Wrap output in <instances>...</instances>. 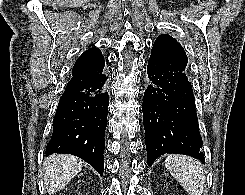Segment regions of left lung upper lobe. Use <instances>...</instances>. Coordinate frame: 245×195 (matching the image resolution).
<instances>
[{"label":"left lung upper lobe","instance_id":"5c2ea615","mask_svg":"<svg viewBox=\"0 0 245 195\" xmlns=\"http://www.w3.org/2000/svg\"><path fill=\"white\" fill-rule=\"evenodd\" d=\"M159 61L166 63L175 71L185 72L187 56L177 40L169 35H160L153 44L151 55Z\"/></svg>","mask_w":245,"mask_h":195}]
</instances>
